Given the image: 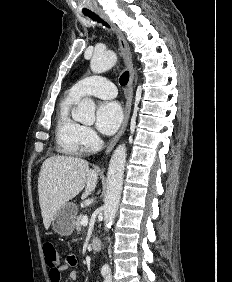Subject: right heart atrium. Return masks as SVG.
Here are the masks:
<instances>
[{
    "label": "right heart atrium",
    "mask_w": 232,
    "mask_h": 282,
    "mask_svg": "<svg viewBox=\"0 0 232 282\" xmlns=\"http://www.w3.org/2000/svg\"><path fill=\"white\" fill-rule=\"evenodd\" d=\"M81 143L86 150L94 149L99 143V137L96 132L87 126L81 128Z\"/></svg>",
    "instance_id": "1"
}]
</instances>
